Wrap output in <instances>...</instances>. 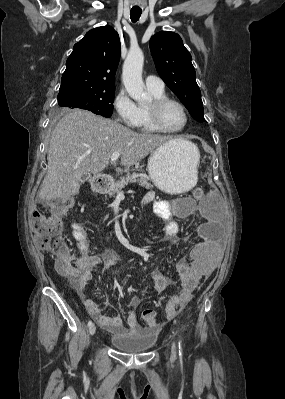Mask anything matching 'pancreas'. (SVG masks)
<instances>
[{
  "mask_svg": "<svg viewBox=\"0 0 285 399\" xmlns=\"http://www.w3.org/2000/svg\"><path fill=\"white\" fill-rule=\"evenodd\" d=\"M149 177L139 174V173H127L124 177H121L119 181L112 183L109 185L106 194L110 198L114 197L117 193H119L126 185L129 183H139L142 187L146 189H152L153 186L149 184Z\"/></svg>",
  "mask_w": 285,
  "mask_h": 399,
  "instance_id": "1",
  "label": "pancreas"
}]
</instances>
